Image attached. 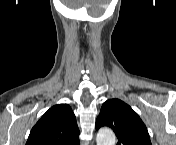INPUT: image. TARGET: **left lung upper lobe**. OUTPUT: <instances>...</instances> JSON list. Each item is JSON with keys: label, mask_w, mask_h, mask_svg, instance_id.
Returning <instances> with one entry per match:
<instances>
[{"label": "left lung upper lobe", "mask_w": 176, "mask_h": 145, "mask_svg": "<svg viewBox=\"0 0 176 145\" xmlns=\"http://www.w3.org/2000/svg\"><path fill=\"white\" fill-rule=\"evenodd\" d=\"M96 129L108 126L115 132L117 145H152L143 121L135 111L119 99H110L102 105Z\"/></svg>", "instance_id": "obj_1"}]
</instances>
